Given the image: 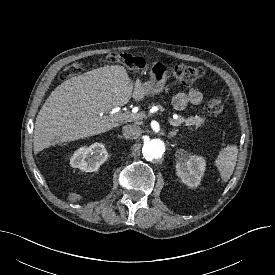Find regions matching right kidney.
<instances>
[{"label": "right kidney", "mask_w": 275, "mask_h": 275, "mask_svg": "<svg viewBox=\"0 0 275 275\" xmlns=\"http://www.w3.org/2000/svg\"><path fill=\"white\" fill-rule=\"evenodd\" d=\"M108 158L102 143H94L89 147H81L70 158V165L74 168H79L84 172L97 171L101 164Z\"/></svg>", "instance_id": "right-kidney-1"}]
</instances>
